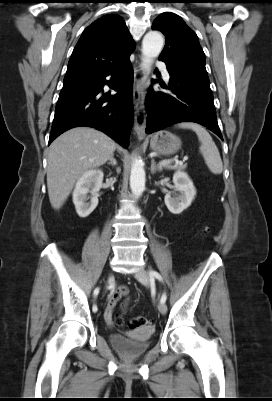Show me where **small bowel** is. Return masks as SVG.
<instances>
[{"mask_svg": "<svg viewBox=\"0 0 272 401\" xmlns=\"http://www.w3.org/2000/svg\"><path fill=\"white\" fill-rule=\"evenodd\" d=\"M127 293V288L126 287H120L116 289L115 291L112 292V294L108 298L107 306L104 311V318L107 324L111 325L112 324V317H113V311L117 303L121 300L123 296H125ZM128 299H125L122 303V309L125 310L128 306Z\"/></svg>", "mask_w": 272, "mask_h": 401, "instance_id": "small-bowel-1", "label": "small bowel"}]
</instances>
